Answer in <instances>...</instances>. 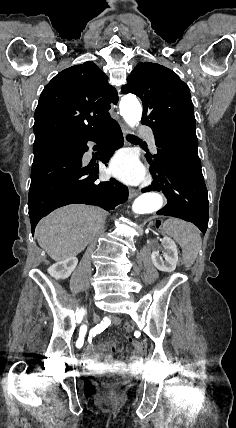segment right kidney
Returning a JSON list of instances; mask_svg holds the SVG:
<instances>
[{
	"label": "right kidney",
	"mask_w": 236,
	"mask_h": 428,
	"mask_svg": "<svg viewBox=\"0 0 236 428\" xmlns=\"http://www.w3.org/2000/svg\"><path fill=\"white\" fill-rule=\"evenodd\" d=\"M77 264L78 260L76 256H70V258L59 260V262L50 266V268H48V274H50L52 278H56V280H66V278H69L72 272H74Z\"/></svg>",
	"instance_id": "obj_1"
}]
</instances>
